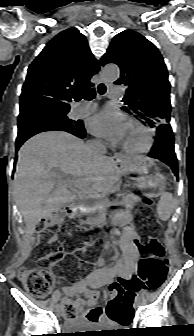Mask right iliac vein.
<instances>
[{"label": "right iliac vein", "instance_id": "63e3f726", "mask_svg": "<svg viewBox=\"0 0 194 336\" xmlns=\"http://www.w3.org/2000/svg\"><path fill=\"white\" fill-rule=\"evenodd\" d=\"M58 308H59V311L62 312V308H63V306H62V307H58Z\"/></svg>", "mask_w": 194, "mask_h": 336}]
</instances>
